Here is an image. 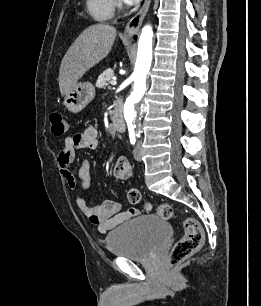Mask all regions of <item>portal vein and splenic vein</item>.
I'll list each match as a JSON object with an SVG mask.
<instances>
[{
  "mask_svg": "<svg viewBox=\"0 0 261 306\" xmlns=\"http://www.w3.org/2000/svg\"><path fill=\"white\" fill-rule=\"evenodd\" d=\"M116 84H117V82L115 80L111 81V85H116Z\"/></svg>",
  "mask_w": 261,
  "mask_h": 306,
  "instance_id": "portal-vein-and-splenic-vein-1",
  "label": "portal vein and splenic vein"
}]
</instances>
